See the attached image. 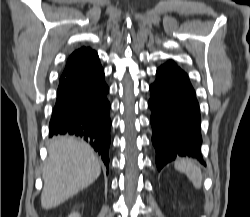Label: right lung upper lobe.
Masks as SVG:
<instances>
[{"mask_svg":"<svg viewBox=\"0 0 250 217\" xmlns=\"http://www.w3.org/2000/svg\"><path fill=\"white\" fill-rule=\"evenodd\" d=\"M96 54L97 53L95 51H92L90 48L82 47L81 49L76 50L69 57L63 73L73 70L76 67L82 65L84 62H86Z\"/></svg>","mask_w":250,"mask_h":217,"instance_id":"1","label":"right lung upper lobe"}]
</instances>
